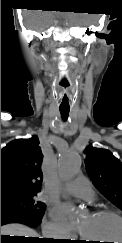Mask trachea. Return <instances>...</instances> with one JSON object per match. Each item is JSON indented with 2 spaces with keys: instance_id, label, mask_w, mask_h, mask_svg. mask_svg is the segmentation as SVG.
Instances as JSON below:
<instances>
[{
  "instance_id": "trachea-1",
  "label": "trachea",
  "mask_w": 122,
  "mask_h": 243,
  "mask_svg": "<svg viewBox=\"0 0 122 243\" xmlns=\"http://www.w3.org/2000/svg\"><path fill=\"white\" fill-rule=\"evenodd\" d=\"M69 111H70L69 108H60V113L64 120L67 119V117L69 115Z\"/></svg>"
}]
</instances>
